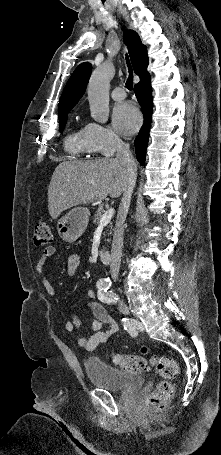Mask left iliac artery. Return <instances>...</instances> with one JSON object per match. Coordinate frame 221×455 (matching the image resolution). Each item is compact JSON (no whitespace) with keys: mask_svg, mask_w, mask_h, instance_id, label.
<instances>
[{"mask_svg":"<svg viewBox=\"0 0 221 455\" xmlns=\"http://www.w3.org/2000/svg\"><path fill=\"white\" fill-rule=\"evenodd\" d=\"M109 287L107 288H99L98 290V298L100 301L105 303H116L118 298L115 293L112 291H108Z\"/></svg>","mask_w":221,"mask_h":455,"instance_id":"44dca946","label":"left iliac artery"}]
</instances>
